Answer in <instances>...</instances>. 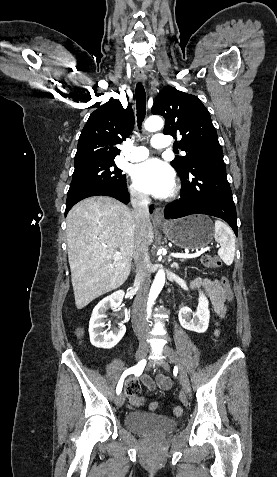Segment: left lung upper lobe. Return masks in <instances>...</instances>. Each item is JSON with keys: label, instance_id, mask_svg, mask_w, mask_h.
<instances>
[{"label": "left lung upper lobe", "instance_id": "obj_1", "mask_svg": "<svg viewBox=\"0 0 277 477\" xmlns=\"http://www.w3.org/2000/svg\"><path fill=\"white\" fill-rule=\"evenodd\" d=\"M151 110L165 118L164 134L181 137L179 148L186 156H177L171 162L178 174L187 172L193 160L202 155L222 153L210 114L198 97L167 86Z\"/></svg>", "mask_w": 277, "mask_h": 477}]
</instances>
